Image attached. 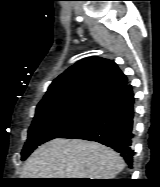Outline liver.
Masks as SVG:
<instances>
[{
    "instance_id": "obj_1",
    "label": "liver",
    "mask_w": 160,
    "mask_h": 187,
    "mask_svg": "<svg viewBox=\"0 0 160 187\" xmlns=\"http://www.w3.org/2000/svg\"><path fill=\"white\" fill-rule=\"evenodd\" d=\"M125 163L113 149L97 142L55 138L26 160L22 178L113 179Z\"/></svg>"
}]
</instances>
